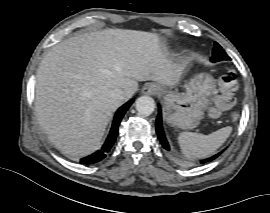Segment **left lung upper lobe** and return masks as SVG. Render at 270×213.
Listing matches in <instances>:
<instances>
[{"label": "left lung upper lobe", "instance_id": "obj_1", "mask_svg": "<svg viewBox=\"0 0 270 213\" xmlns=\"http://www.w3.org/2000/svg\"><path fill=\"white\" fill-rule=\"evenodd\" d=\"M222 60H230V57L225 53L222 47L218 43H214L212 62H218Z\"/></svg>", "mask_w": 270, "mask_h": 213}]
</instances>
